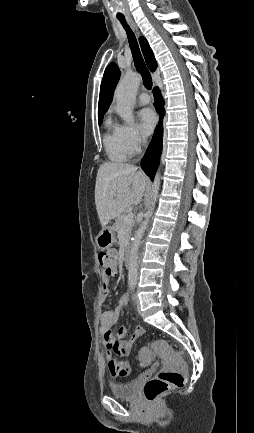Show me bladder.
Instances as JSON below:
<instances>
[{"instance_id":"obj_1","label":"bladder","mask_w":254,"mask_h":433,"mask_svg":"<svg viewBox=\"0 0 254 433\" xmlns=\"http://www.w3.org/2000/svg\"><path fill=\"white\" fill-rule=\"evenodd\" d=\"M109 391L117 398L135 399L137 396V381L134 379L123 383L110 384Z\"/></svg>"}]
</instances>
